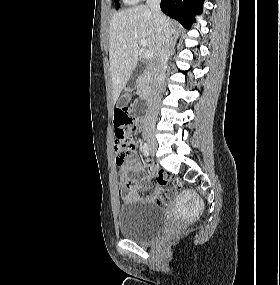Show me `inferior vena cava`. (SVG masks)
<instances>
[{"label": "inferior vena cava", "mask_w": 280, "mask_h": 285, "mask_svg": "<svg viewBox=\"0 0 280 285\" xmlns=\"http://www.w3.org/2000/svg\"><path fill=\"white\" fill-rule=\"evenodd\" d=\"M147 6L152 11L156 26V48L154 54L153 80L150 95L147 99V111L144 119L145 125H154L158 105L163 90V80L166 64L171 53L172 37L166 20L160 9V0H147Z\"/></svg>", "instance_id": "inferior-vena-cava-1"}]
</instances>
